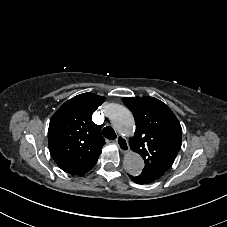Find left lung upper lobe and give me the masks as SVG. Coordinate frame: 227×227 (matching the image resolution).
<instances>
[{"label": "left lung upper lobe", "mask_w": 227, "mask_h": 227, "mask_svg": "<svg viewBox=\"0 0 227 227\" xmlns=\"http://www.w3.org/2000/svg\"><path fill=\"white\" fill-rule=\"evenodd\" d=\"M136 131L129 139L131 149L145 162L141 175L159 179L173 164L182 144L181 125L162 101L154 97H125Z\"/></svg>", "instance_id": "5c2ea615"}]
</instances>
